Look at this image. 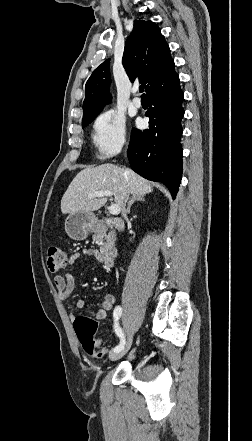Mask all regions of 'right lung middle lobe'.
I'll return each mask as SVG.
<instances>
[{"instance_id": "obj_1", "label": "right lung middle lobe", "mask_w": 252, "mask_h": 441, "mask_svg": "<svg viewBox=\"0 0 252 441\" xmlns=\"http://www.w3.org/2000/svg\"><path fill=\"white\" fill-rule=\"evenodd\" d=\"M93 120H94V118H93V119H91V120H89V121H87V122H84V123H82V128H84V127L88 126V125H89V123H91V122H92Z\"/></svg>"}]
</instances>
